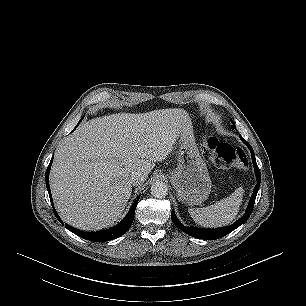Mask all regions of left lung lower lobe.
Segmentation results:
<instances>
[{
	"instance_id": "1",
	"label": "left lung lower lobe",
	"mask_w": 306,
	"mask_h": 306,
	"mask_svg": "<svg viewBox=\"0 0 306 306\" xmlns=\"http://www.w3.org/2000/svg\"><path fill=\"white\" fill-rule=\"evenodd\" d=\"M240 138L250 149V152H251V155H252V161H253V165H254V169H255V173H256V180H257V184H256V186L253 190V193L251 195V198H250V201H249V204H248V207H247V210H246L244 216L241 219H239L238 221H236L231 226L210 230V229L185 227L180 223V221L177 219L175 213L172 211L171 212V218H172L173 223L175 224V226L177 228H179L180 230H182L186 234H188L190 236H193V237H196V238H200V239L215 240V239H218V238H221V237L227 235L228 233H230L233 230H235L236 228H238L251 215L253 207H254L256 195H257L258 189L260 187V170L257 166L255 156H254V151H253L252 147L250 146V144L246 140L243 139L242 136H240Z\"/></svg>"
}]
</instances>
